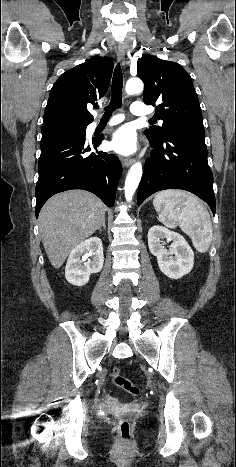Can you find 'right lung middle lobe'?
<instances>
[{
  "label": "right lung middle lobe",
  "instance_id": "obj_1",
  "mask_svg": "<svg viewBox=\"0 0 236 467\" xmlns=\"http://www.w3.org/2000/svg\"><path fill=\"white\" fill-rule=\"evenodd\" d=\"M86 127H69L42 131L41 142H46L58 138L69 136H85Z\"/></svg>",
  "mask_w": 236,
  "mask_h": 467
}]
</instances>
